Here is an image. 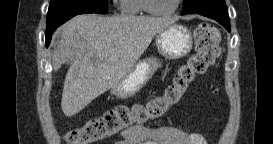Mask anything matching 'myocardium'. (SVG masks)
<instances>
[{
  "instance_id": "1",
  "label": "myocardium",
  "mask_w": 273,
  "mask_h": 144,
  "mask_svg": "<svg viewBox=\"0 0 273 144\" xmlns=\"http://www.w3.org/2000/svg\"><path fill=\"white\" fill-rule=\"evenodd\" d=\"M153 0H143V10L151 15L166 16L173 14L179 8L182 0H176L175 5L169 10H158L152 5Z\"/></svg>"
}]
</instances>
